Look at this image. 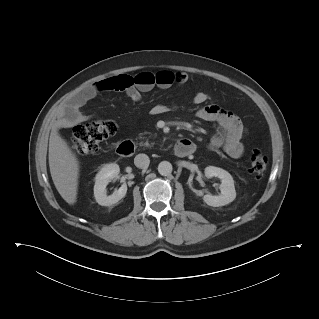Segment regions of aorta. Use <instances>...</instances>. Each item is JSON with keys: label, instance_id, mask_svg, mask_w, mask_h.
Listing matches in <instances>:
<instances>
[{"label": "aorta", "instance_id": "762f6f07", "mask_svg": "<svg viewBox=\"0 0 319 319\" xmlns=\"http://www.w3.org/2000/svg\"><path fill=\"white\" fill-rule=\"evenodd\" d=\"M172 164L168 161H162L158 165V172L162 176H168L172 173Z\"/></svg>", "mask_w": 319, "mask_h": 319}]
</instances>
